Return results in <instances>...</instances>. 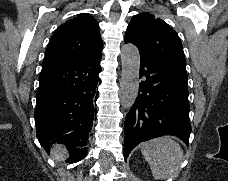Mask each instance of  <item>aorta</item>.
I'll list each match as a JSON object with an SVG mask.
<instances>
[{"mask_svg":"<svg viewBox=\"0 0 228 181\" xmlns=\"http://www.w3.org/2000/svg\"><path fill=\"white\" fill-rule=\"evenodd\" d=\"M120 101L125 109L134 104L139 88L140 55L136 46L125 44L121 48Z\"/></svg>","mask_w":228,"mask_h":181,"instance_id":"aorta-1","label":"aorta"}]
</instances>
